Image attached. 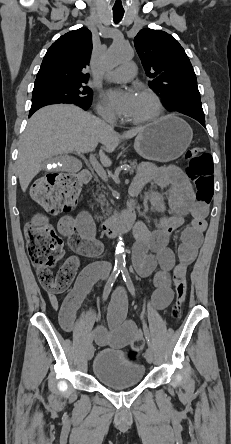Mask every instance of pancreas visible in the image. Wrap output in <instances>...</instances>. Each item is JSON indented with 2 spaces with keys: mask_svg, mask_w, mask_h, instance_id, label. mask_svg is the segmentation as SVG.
Wrapping results in <instances>:
<instances>
[{
  "mask_svg": "<svg viewBox=\"0 0 231 444\" xmlns=\"http://www.w3.org/2000/svg\"><path fill=\"white\" fill-rule=\"evenodd\" d=\"M121 164H122L123 167H127L131 171H133L137 167V161L136 160L123 161ZM102 197H103V195H102Z\"/></svg>",
  "mask_w": 231,
  "mask_h": 444,
  "instance_id": "pancreas-1",
  "label": "pancreas"
}]
</instances>
